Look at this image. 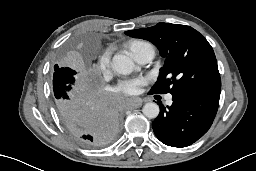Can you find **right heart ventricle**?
<instances>
[{
	"instance_id": "right-heart-ventricle-1",
	"label": "right heart ventricle",
	"mask_w": 256,
	"mask_h": 171,
	"mask_svg": "<svg viewBox=\"0 0 256 171\" xmlns=\"http://www.w3.org/2000/svg\"><path fill=\"white\" fill-rule=\"evenodd\" d=\"M151 47L153 46L149 42L143 40H133L128 45V48L135 59L140 52Z\"/></svg>"
}]
</instances>
